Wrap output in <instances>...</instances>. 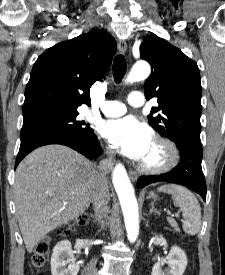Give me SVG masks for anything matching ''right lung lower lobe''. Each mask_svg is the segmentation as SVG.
<instances>
[{
    "mask_svg": "<svg viewBox=\"0 0 225 275\" xmlns=\"http://www.w3.org/2000/svg\"><path fill=\"white\" fill-rule=\"evenodd\" d=\"M48 144L66 145L89 159L96 158L101 154L100 143L94 133L83 136L56 126L31 124L22 127L21 144L15 167L32 150Z\"/></svg>",
    "mask_w": 225,
    "mask_h": 275,
    "instance_id": "1",
    "label": "right lung lower lobe"
}]
</instances>
